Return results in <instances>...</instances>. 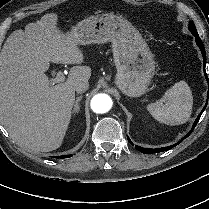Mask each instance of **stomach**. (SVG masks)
Listing matches in <instances>:
<instances>
[{
	"label": "stomach",
	"mask_w": 209,
	"mask_h": 209,
	"mask_svg": "<svg viewBox=\"0 0 209 209\" xmlns=\"http://www.w3.org/2000/svg\"><path fill=\"white\" fill-rule=\"evenodd\" d=\"M64 34L77 45L111 42L116 86L131 97L145 93L155 74V62L145 39L127 19L112 13L92 15Z\"/></svg>",
	"instance_id": "1"
}]
</instances>
